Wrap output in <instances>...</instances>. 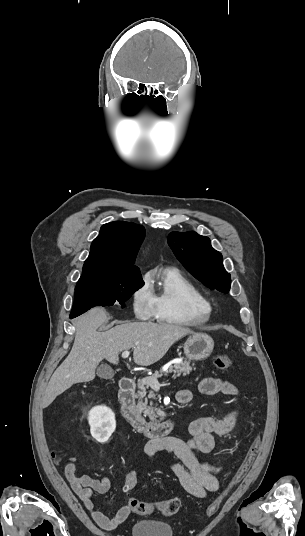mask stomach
Wrapping results in <instances>:
<instances>
[{"label": "stomach", "instance_id": "stomach-1", "mask_svg": "<svg viewBox=\"0 0 305 536\" xmlns=\"http://www.w3.org/2000/svg\"><path fill=\"white\" fill-rule=\"evenodd\" d=\"M214 340L208 334H193L184 344V354L189 360H206L213 352Z\"/></svg>", "mask_w": 305, "mask_h": 536}]
</instances>
